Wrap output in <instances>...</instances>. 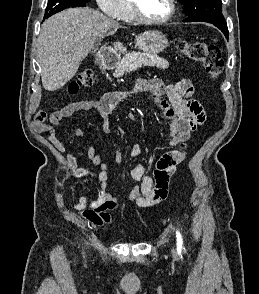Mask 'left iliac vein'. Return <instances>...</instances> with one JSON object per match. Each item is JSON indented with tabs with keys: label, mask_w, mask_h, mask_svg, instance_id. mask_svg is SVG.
Here are the masks:
<instances>
[{
	"label": "left iliac vein",
	"mask_w": 259,
	"mask_h": 294,
	"mask_svg": "<svg viewBox=\"0 0 259 294\" xmlns=\"http://www.w3.org/2000/svg\"><path fill=\"white\" fill-rule=\"evenodd\" d=\"M172 253H175V246H172Z\"/></svg>",
	"instance_id": "obj_1"
}]
</instances>
